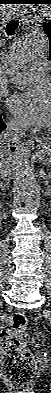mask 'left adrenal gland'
Segmentation results:
<instances>
[{"label": "left adrenal gland", "instance_id": "obj_1", "mask_svg": "<svg viewBox=\"0 0 51 393\" xmlns=\"http://www.w3.org/2000/svg\"><path fill=\"white\" fill-rule=\"evenodd\" d=\"M45 184H46V186H47L46 195L49 196V194H50V185H49V182H48V181H45Z\"/></svg>", "mask_w": 51, "mask_h": 393}]
</instances>
